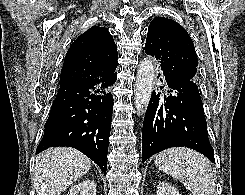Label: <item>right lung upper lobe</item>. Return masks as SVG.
Segmentation results:
<instances>
[{"instance_id":"right-lung-upper-lobe-1","label":"right lung upper lobe","mask_w":245,"mask_h":195,"mask_svg":"<svg viewBox=\"0 0 245 195\" xmlns=\"http://www.w3.org/2000/svg\"><path fill=\"white\" fill-rule=\"evenodd\" d=\"M118 52L112 35L104 27L93 26L68 49L59 84L86 80L98 70L114 73Z\"/></svg>"}]
</instances>
